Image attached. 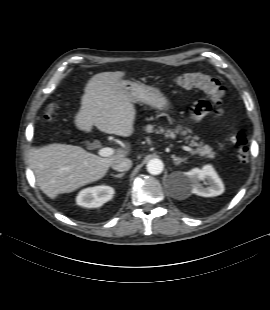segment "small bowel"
Wrapping results in <instances>:
<instances>
[{"instance_id":"small-bowel-1","label":"small bowel","mask_w":270,"mask_h":310,"mask_svg":"<svg viewBox=\"0 0 270 310\" xmlns=\"http://www.w3.org/2000/svg\"><path fill=\"white\" fill-rule=\"evenodd\" d=\"M195 114L196 115H200L201 113H199L198 111H196V109H195Z\"/></svg>"}]
</instances>
